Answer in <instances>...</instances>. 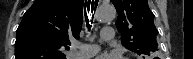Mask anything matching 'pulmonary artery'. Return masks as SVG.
<instances>
[{
	"label": "pulmonary artery",
	"instance_id": "e3ab8cb5",
	"mask_svg": "<svg viewBox=\"0 0 193 59\" xmlns=\"http://www.w3.org/2000/svg\"><path fill=\"white\" fill-rule=\"evenodd\" d=\"M102 34H103L104 40L106 41L112 40L114 38V32L111 27H107V26L103 27ZM99 51H100V46L95 44H89L85 47L83 51L79 53L76 51H73V57L75 59H85L96 55Z\"/></svg>",
	"mask_w": 193,
	"mask_h": 59
}]
</instances>
